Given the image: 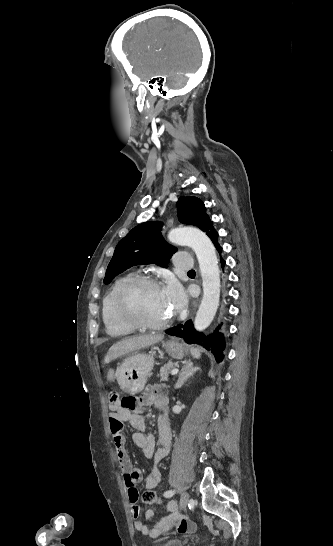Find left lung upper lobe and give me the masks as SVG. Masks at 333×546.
<instances>
[{
	"label": "left lung upper lobe",
	"instance_id": "left-lung-upper-lobe-1",
	"mask_svg": "<svg viewBox=\"0 0 333 546\" xmlns=\"http://www.w3.org/2000/svg\"><path fill=\"white\" fill-rule=\"evenodd\" d=\"M176 206L181 223L197 226L208 233L212 222L200 199L180 197ZM161 230L160 222H145L133 228L116 246L104 283H110L115 276L134 265L155 263L167 268L177 249L164 240Z\"/></svg>",
	"mask_w": 333,
	"mask_h": 546
}]
</instances>
